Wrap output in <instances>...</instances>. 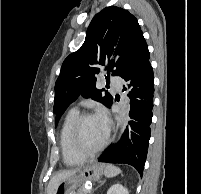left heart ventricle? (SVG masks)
<instances>
[{
    "mask_svg": "<svg viewBox=\"0 0 201 194\" xmlns=\"http://www.w3.org/2000/svg\"><path fill=\"white\" fill-rule=\"evenodd\" d=\"M105 137L106 134L95 116L86 119L82 124L81 140L84 148L88 150L95 149L103 142Z\"/></svg>",
    "mask_w": 201,
    "mask_h": 194,
    "instance_id": "left-heart-ventricle-1",
    "label": "left heart ventricle"
}]
</instances>
